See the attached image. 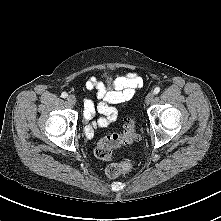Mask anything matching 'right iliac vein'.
<instances>
[{"label": "right iliac vein", "instance_id": "obj_1", "mask_svg": "<svg viewBox=\"0 0 221 221\" xmlns=\"http://www.w3.org/2000/svg\"><path fill=\"white\" fill-rule=\"evenodd\" d=\"M67 100H68V102H69L70 104H72V105H75V104H76V98H75V96H73V95H69V96L67 97Z\"/></svg>", "mask_w": 221, "mask_h": 221}]
</instances>
